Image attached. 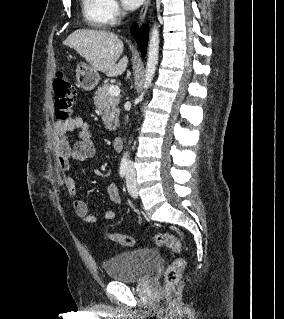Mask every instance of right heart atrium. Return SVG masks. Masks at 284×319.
<instances>
[{
  "instance_id": "right-heart-atrium-1",
  "label": "right heart atrium",
  "mask_w": 284,
  "mask_h": 319,
  "mask_svg": "<svg viewBox=\"0 0 284 319\" xmlns=\"http://www.w3.org/2000/svg\"><path fill=\"white\" fill-rule=\"evenodd\" d=\"M106 10L110 23H117L121 17V10L116 0H106Z\"/></svg>"
}]
</instances>
